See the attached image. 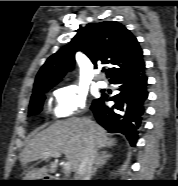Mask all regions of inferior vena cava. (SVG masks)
<instances>
[{"label": "inferior vena cava", "mask_w": 178, "mask_h": 186, "mask_svg": "<svg viewBox=\"0 0 178 186\" xmlns=\"http://www.w3.org/2000/svg\"><path fill=\"white\" fill-rule=\"evenodd\" d=\"M89 124V122H88ZM97 156V149L90 134L86 140L82 159L75 172V180H91L93 165Z\"/></svg>", "instance_id": "obj_1"}]
</instances>
